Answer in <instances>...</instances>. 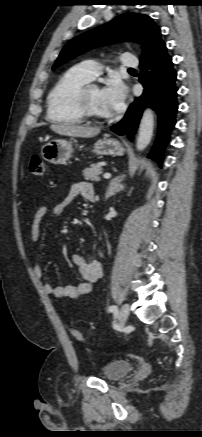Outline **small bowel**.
Wrapping results in <instances>:
<instances>
[{
    "label": "small bowel",
    "instance_id": "1",
    "mask_svg": "<svg viewBox=\"0 0 202 437\" xmlns=\"http://www.w3.org/2000/svg\"><path fill=\"white\" fill-rule=\"evenodd\" d=\"M90 200L91 197H95L93 186L87 182H79L74 184L65 199L54 202L51 206H41L35 213L34 219L31 225V241L37 243L40 237V228L43 219L47 214L55 216L61 215L72 201L77 197ZM73 264L78 268V271L82 277V282L77 285L66 286H53L52 284L45 282L42 284L43 291L47 294H52L57 298H70L79 299L89 294L95 282L102 275V264L99 259H87L81 254H73ZM34 274L38 279H42L43 271L41 264L37 262L34 266Z\"/></svg>",
    "mask_w": 202,
    "mask_h": 437
}]
</instances>
